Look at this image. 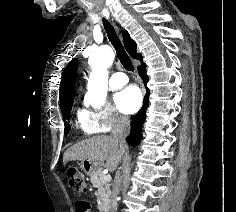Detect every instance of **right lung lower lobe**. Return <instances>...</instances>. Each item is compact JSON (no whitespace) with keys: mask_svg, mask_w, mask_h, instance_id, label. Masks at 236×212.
<instances>
[{"mask_svg":"<svg viewBox=\"0 0 236 212\" xmlns=\"http://www.w3.org/2000/svg\"><path fill=\"white\" fill-rule=\"evenodd\" d=\"M140 61L141 65L138 67V72L141 78L143 79L144 84H146L148 82V76L146 73V64L143 63V59ZM148 96H149V90L147 89L146 95L144 97L143 106L131 121V132L129 136L126 138V141L131 145H138L142 137L141 135L142 127L145 122L146 110L148 108Z\"/></svg>","mask_w":236,"mask_h":212,"instance_id":"1","label":"right lung lower lobe"}]
</instances>
